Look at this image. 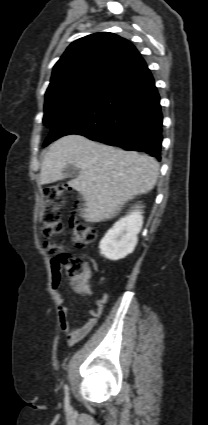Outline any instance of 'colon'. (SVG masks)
<instances>
[{
  "mask_svg": "<svg viewBox=\"0 0 208 425\" xmlns=\"http://www.w3.org/2000/svg\"><path fill=\"white\" fill-rule=\"evenodd\" d=\"M67 187L61 184L48 187L44 191L45 209L41 218L43 234L46 238L44 248L53 257L52 269L60 274L64 269L68 278L76 284L82 285L86 278V267L84 261L71 253L65 251L56 238L63 231V224L59 214V208ZM72 242L77 247H83L92 243L97 236L96 229L89 223L74 217L71 219Z\"/></svg>",
  "mask_w": 208,
  "mask_h": 425,
  "instance_id": "5ec220e1",
  "label": "colon"
}]
</instances>
